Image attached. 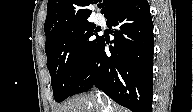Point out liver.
Segmentation results:
<instances>
[{"instance_id": "6515ba94", "label": "liver", "mask_w": 193, "mask_h": 112, "mask_svg": "<svg viewBox=\"0 0 193 112\" xmlns=\"http://www.w3.org/2000/svg\"><path fill=\"white\" fill-rule=\"evenodd\" d=\"M102 104L98 95L94 92L77 95L72 99L60 104L57 108V112H127L126 109L114 104L111 107V103L107 100Z\"/></svg>"}]
</instances>
